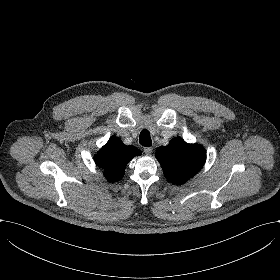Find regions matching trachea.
I'll list each match as a JSON object with an SVG mask.
<instances>
[{
    "instance_id": "obj_1",
    "label": "trachea",
    "mask_w": 280,
    "mask_h": 280,
    "mask_svg": "<svg viewBox=\"0 0 280 280\" xmlns=\"http://www.w3.org/2000/svg\"><path fill=\"white\" fill-rule=\"evenodd\" d=\"M139 143L142 146H146V147L152 146L150 132L147 129H143L141 131L140 136H139Z\"/></svg>"
}]
</instances>
